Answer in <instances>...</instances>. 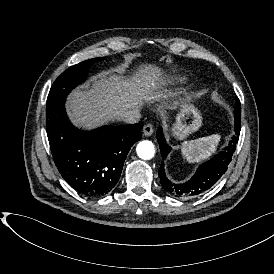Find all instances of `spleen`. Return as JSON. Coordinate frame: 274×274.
Returning <instances> with one entry per match:
<instances>
[{
  "mask_svg": "<svg viewBox=\"0 0 274 274\" xmlns=\"http://www.w3.org/2000/svg\"><path fill=\"white\" fill-rule=\"evenodd\" d=\"M221 136L213 134L211 136L185 141L181 146L182 156L189 163H199L209 158L216 152Z\"/></svg>",
  "mask_w": 274,
  "mask_h": 274,
  "instance_id": "obj_1",
  "label": "spleen"
}]
</instances>
